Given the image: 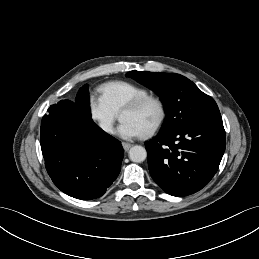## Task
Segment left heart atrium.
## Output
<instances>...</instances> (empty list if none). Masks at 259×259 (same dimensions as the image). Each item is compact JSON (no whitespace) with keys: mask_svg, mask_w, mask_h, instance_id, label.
Instances as JSON below:
<instances>
[{"mask_svg":"<svg viewBox=\"0 0 259 259\" xmlns=\"http://www.w3.org/2000/svg\"><path fill=\"white\" fill-rule=\"evenodd\" d=\"M117 135L123 139H133L141 135L139 129L128 121H122L117 129Z\"/></svg>","mask_w":259,"mask_h":259,"instance_id":"obj_1","label":"left heart atrium"}]
</instances>
